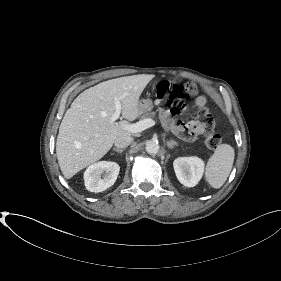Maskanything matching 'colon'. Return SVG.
<instances>
[{
	"label": "colon",
	"instance_id": "1",
	"mask_svg": "<svg viewBox=\"0 0 281 281\" xmlns=\"http://www.w3.org/2000/svg\"><path fill=\"white\" fill-rule=\"evenodd\" d=\"M197 92V86L193 82L178 83L174 81H160L154 89L156 98L164 100L169 107L172 116L179 115L183 108V100L187 95H194ZM199 124L202 133L205 134V143L215 149L221 144V136L214 131L215 119L205 109L199 112Z\"/></svg>",
	"mask_w": 281,
	"mask_h": 281
}]
</instances>
